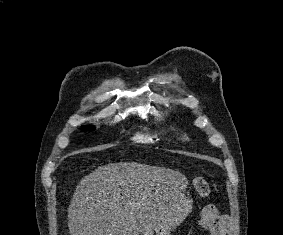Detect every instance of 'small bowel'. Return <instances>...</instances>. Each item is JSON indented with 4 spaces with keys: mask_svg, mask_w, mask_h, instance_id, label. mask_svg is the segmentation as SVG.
Instances as JSON below:
<instances>
[{
    "mask_svg": "<svg viewBox=\"0 0 283 235\" xmlns=\"http://www.w3.org/2000/svg\"><path fill=\"white\" fill-rule=\"evenodd\" d=\"M201 225L210 235H227L228 232V220L220 215L212 204L202 209Z\"/></svg>",
    "mask_w": 283,
    "mask_h": 235,
    "instance_id": "c3829d8e",
    "label": "small bowel"
}]
</instances>
